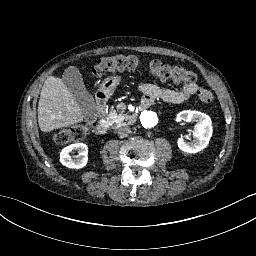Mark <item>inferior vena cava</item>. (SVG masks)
<instances>
[{
	"mask_svg": "<svg viewBox=\"0 0 256 256\" xmlns=\"http://www.w3.org/2000/svg\"><path fill=\"white\" fill-rule=\"evenodd\" d=\"M117 133L120 137H127L129 133H131V129L129 126H121L117 129Z\"/></svg>",
	"mask_w": 256,
	"mask_h": 256,
	"instance_id": "1",
	"label": "inferior vena cava"
}]
</instances>
